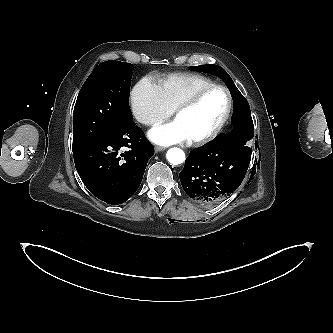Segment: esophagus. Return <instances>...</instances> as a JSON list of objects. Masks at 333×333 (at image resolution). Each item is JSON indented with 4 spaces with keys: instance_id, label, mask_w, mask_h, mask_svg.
<instances>
[{
    "instance_id": "34e87169",
    "label": "esophagus",
    "mask_w": 333,
    "mask_h": 333,
    "mask_svg": "<svg viewBox=\"0 0 333 333\" xmlns=\"http://www.w3.org/2000/svg\"><path fill=\"white\" fill-rule=\"evenodd\" d=\"M165 148L164 147H161V146H155V152H161V151H164Z\"/></svg>"
}]
</instances>
